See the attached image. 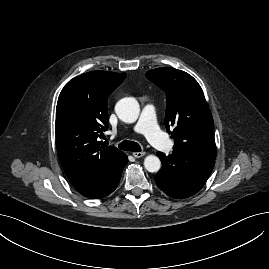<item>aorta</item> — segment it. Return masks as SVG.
<instances>
[{
    "mask_svg": "<svg viewBox=\"0 0 269 269\" xmlns=\"http://www.w3.org/2000/svg\"><path fill=\"white\" fill-rule=\"evenodd\" d=\"M115 112L123 122L133 123L139 116V103L132 97L123 98L117 102ZM144 167L148 172H158L161 168V161L155 155H148L144 159Z\"/></svg>",
    "mask_w": 269,
    "mask_h": 269,
    "instance_id": "1",
    "label": "aorta"
}]
</instances>
